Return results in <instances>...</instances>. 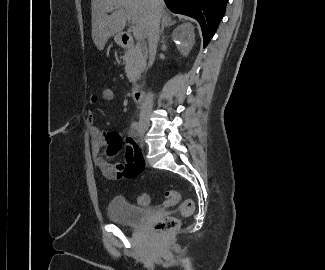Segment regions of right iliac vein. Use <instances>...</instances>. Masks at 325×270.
<instances>
[{
    "instance_id": "right-iliac-vein-1",
    "label": "right iliac vein",
    "mask_w": 325,
    "mask_h": 270,
    "mask_svg": "<svg viewBox=\"0 0 325 270\" xmlns=\"http://www.w3.org/2000/svg\"><path fill=\"white\" fill-rule=\"evenodd\" d=\"M148 128H149V125L145 124V123L141 127V129L144 130V131L148 130Z\"/></svg>"
}]
</instances>
